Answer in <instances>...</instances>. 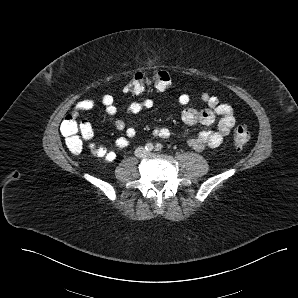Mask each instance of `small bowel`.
I'll list each match as a JSON object with an SVG mask.
<instances>
[{
	"mask_svg": "<svg viewBox=\"0 0 298 298\" xmlns=\"http://www.w3.org/2000/svg\"><path fill=\"white\" fill-rule=\"evenodd\" d=\"M199 98L207 105L206 108L198 110L192 107H185L182 111L181 118L183 122L188 125L200 123L209 126L217 124L216 130H202L187 140V144L192 149L202 151L207 148L219 147L224 138L234 127L236 120L233 115V108L229 104L220 103L217 97L205 92L201 93ZM190 100V96L186 93H182L178 97V101L181 105H188ZM101 104L109 115L117 114V107L114 103L113 96L109 94L104 95L101 99ZM95 105L96 102L92 99L80 100L75 104L73 114L77 115L79 112L91 110ZM153 106L154 102L150 98L134 101L129 104L126 109V114L135 115L143 110L151 109ZM115 127L117 130L124 131V135L116 140V147L120 149L127 147L130 143V139L134 138L136 135L135 128L126 127L122 119L115 121ZM153 134L156 137L166 139L170 136V130L165 127H157L153 130ZM87 148L92 155L102 158L107 162H113L116 159V152L114 150L108 149L94 141L90 140L87 144Z\"/></svg>",
	"mask_w": 298,
	"mask_h": 298,
	"instance_id": "obj_1",
	"label": "small bowel"
}]
</instances>
